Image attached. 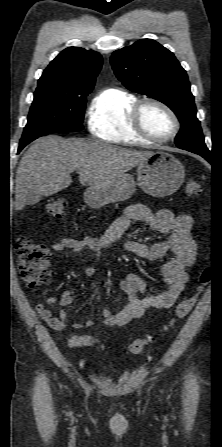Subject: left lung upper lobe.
I'll use <instances>...</instances> for the list:
<instances>
[{
  "mask_svg": "<svg viewBox=\"0 0 222 447\" xmlns=\"http://www.w3.org/2000/svg\"><path fill=\"white\" fill-rule=\"evenodd\" d=\"M111 64L126 88L159 100L174 111L181 123L175 138L178 148L209 153L187 73L172 52L152 39H142L115 51Z\"/></svg>",
  "mask_w": 222,
  "mask_h": 447,
  "instance_id": "left-lung-upper-lobe-1",
  "label": "left lung upper lobe"
}]
</instances>
